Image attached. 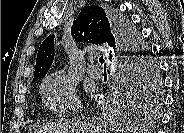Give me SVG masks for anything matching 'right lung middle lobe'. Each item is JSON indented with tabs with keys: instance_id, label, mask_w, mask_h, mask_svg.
I'll return each mask as SVG.
<instances>
[{
	"instance_id": "right-lung-middle-lobe-1",
	"label": "right lung middle lobe",
	"mask_w": 184,
	"mask_h": 133,
	"mask_svg": "<svg viewBox=\"0 0 184 133\" xmlns=\"http://www.w3.org/2000/svg\"><path fill=\"white\" fill-rule=\"evenodd\" d=\"M123 20L138 49L132 51L130 62L133 65L126 83L125 93L121 95L119 103L125 109L140 110L147 106L149 101H153L151 98L155 97H152V94H155L154 91H158L160 88L158 66L149 55H145L144 51L147 53L148 51L141 44L140 35L132 24L125 18Z\"/></svg>"
}]
</instances>
